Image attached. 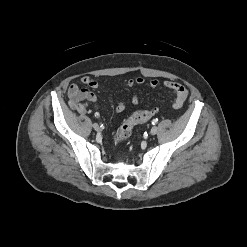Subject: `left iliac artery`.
Instances as JSON below:
<instances>
[{"mask_svg":"<svg viewBox=\"0 0 247 247\" xmlns=\"http://www.w3.org/2000/svg\"><path fill=\"white\" fill-rule=\"evenodd\" d=\"M158 122V119H153L152 124L155 125Z\"/></svg>","mask_w":247,"mask_h":247,"instance_id":"44dca946","label":"left iliac artery"}]
</instances>
